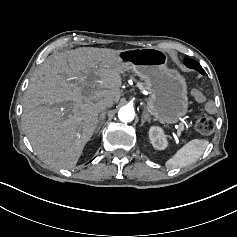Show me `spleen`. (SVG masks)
<instances>
[{
    "mask_svg": "<svg viewBox=\"0 0 237 237\" xmlns=\"http://www.w3.org/2000/svg\"><path fill=\"white\" fill-rule=\"evenodd\" d=\"M206 139H192L179 148L176 153L165 162L167 169L184 168L196 162L208 147Z\"/></svg>",
    "mask_w": 237,
    "mask_h": 237,
    "instance_id": "1",
    "label": "spleen"
}]
</instances>
